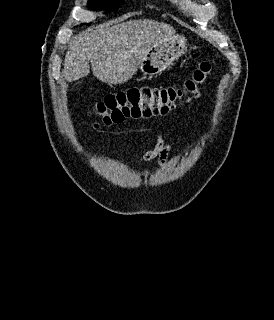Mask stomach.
<instances>
[{
  "label": "stomach",
  "mask_w": 274,
  "mask_h": 320,
  "mask_svg": "<svg viewBox=\"0 0 274 320\" xmlns=\"http://www.w3.org/2000/svg\"><path fill=\"white\" fill-rule=\"evenodd\" d=\"M186 50L187 42L185 38L173 34L165 42H160L158 46L151 48L147 58L139 64V68L144 76H149V78L157 76V74H162L166 68H169L172 62L179 60Z\"/></svg>",
  "instance_id": "stomach-1"
}]
</instances>
